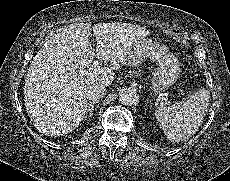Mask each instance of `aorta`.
<instances>
[{"instance_id":"762f6f07","label":"aorta","mask_w":230,"mask_h":181,"mask_svg":"<svg viewBox=\"0 0 230 181\" xmlns=\"http://www.w3.org/2000/svg\"><path fill=\"white\" fill-rule=\"evenodd\" d=\"M119 101L122 105L134 106L138 104L139 96L134 90L130 88H124L119 93Z\"/></svg>"}]
</instances>
